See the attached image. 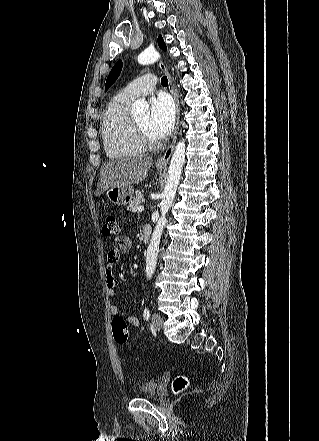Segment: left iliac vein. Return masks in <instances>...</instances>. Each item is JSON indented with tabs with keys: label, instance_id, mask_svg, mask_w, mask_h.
Segmentation results:
<instances>
[{
	"label": "left iliac vein",
	"instance_id": "obj_1",
	"mask_svg": "<svg viewBox=\"0 0 319 441\" xmlns=\"http://www.w3.org/2000/svg\"><path fill=\"white\" fill-rule=\"evenodd\" d=\"M162 318L159 314L154 313L152 315V325L155 330L159 331L162 328Z\"/></svg>",
	"mask_w": 319,
	"mask_h": 441
}]
</instances>
